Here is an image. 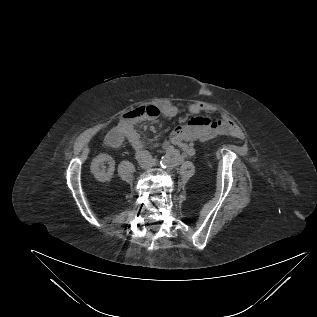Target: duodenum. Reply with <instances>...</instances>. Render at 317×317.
<instances>
[{"label": "duodenum", "instance_id": "obj_1", "mask_svg": "<svg viewBox=\"0 0 317 317\" xmlns=\"http://www.w3.org/2000/svg\"><path fill=\"white\" fill-rule=\"evenodd\" d=\"M123 141V136L119 133H114L109 137L108 145L112 148H118Z\"/></svg>", "mask_w": 317, "mask_h": 317}]
</instances>
